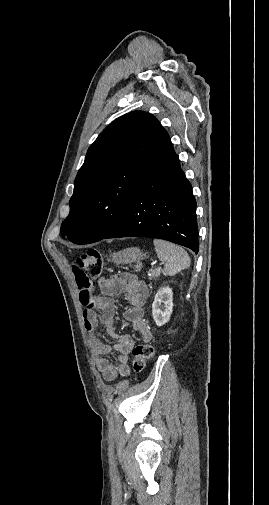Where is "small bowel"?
<instances>
[{
    "label": "small bowel",
    "instance_id": "small-bowel-1",
    "mask_svg": "<svg viewBox=\"0 0 269 505\" xmlns=\"http://www.w3.org/2000/svg\"><path fill=\"white\" fill-rule=\"evenodd\" d=\"M70 265L75 285L79 290L80 302L86 307L83 311L84 327L97 369L106 381H113L118 375H128L130 372L128 360L134 340L128 334H118L115 331L113 298L116 296L126 298L129 307L124 312V318L144 342H149L152 340V333L144 319V304L148 296L146 284L127 273L102 278V272L98 281H91L86 269L80 268L77 261H72ZM90 283H98L102 295H93ZM99 324H102L106 332L115 339L113 345L105 344L97 337ZM112 351L119 353L117 365L106 358Z\"/></svg>",
    "mask_w": 269,
    "mask_h": 505
}]
</instances>
